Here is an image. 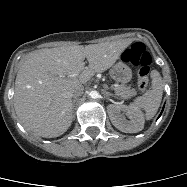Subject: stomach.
<instances>
[{
  "label": "stomach",
  "instance_id": "0dacf381",
  "mask_svg": "<svg viewBox=\"0 0 187 187\" xmlns=\"http://www.w3.org/2000/svg\"><path fill=\"white\" fill-rule=\"evenodd\" d=\"M110 75L117 82L127 83L132 78V71L123 61H120L110 69Z\"/></svg>",
  "mask_w": 187,
  "mask_h": 187
}]
</instances>
